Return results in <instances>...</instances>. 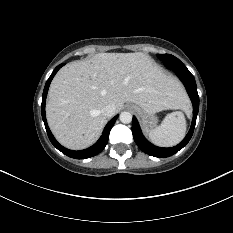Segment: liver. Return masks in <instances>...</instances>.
I'll return each mask as SVG.
<instances>
[{"label": "liver", "mask_w": 233, "mask_h": 233, "mask_svg": "<svg viewBox=\"0 0 233 233\" xmlns=\"http://www.w3.org/2000/svg\"><path fill=\"white\" fill-rule=\"evenodd\" d=\"M131 102L149 113L188 108L181 84L146 54L98 53L63 67L54 77L46 104L49 127L65 147L80 150L94 144L108 117V104L119 112Z\"/></svg>", "instance_id": "1"}]
</instances>
